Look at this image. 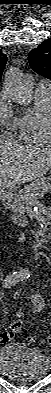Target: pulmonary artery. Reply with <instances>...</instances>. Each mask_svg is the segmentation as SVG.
<instances>
[{
  "label": "pulmonary artery",
  "instance_id": "pulmonary-artery-1",
  "mask_svg": "<svg viewBox=\"0 0 51 393\" xmlns=\"http://www.w3.org/2000/svg\"><path fill=\"white\" fill-rule=\"evenodd\" d=\"M38 86H41V87H43V88H50V84H49L47 81H45V80H42V81L39 83Z\"/></svg>",
  "mask_w": 51,
  "mask_h": 393
}]
</instances>
